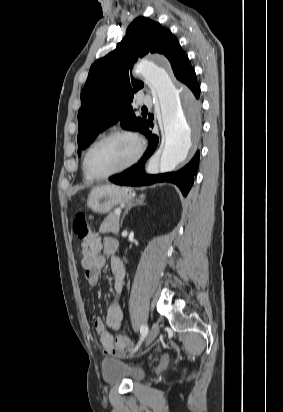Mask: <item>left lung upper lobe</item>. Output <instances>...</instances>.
Segmentation results:
<instances>
[{"label": "left lung upper lobe", "mask_w": 283, "mask_h": 412, "mask_svg": "<svg viewBox=\"0 0 283 412\" xmlns=\"http://www.w3.org/2000/svg\"><path fill=\"white\" fill-rule=\"evenodd\" d=\"M148 53L166 56L180 81L193 70L169 29L147 18H136L116 50L96 61L89 70L78 112L80 149H85L100 132L118 121L127 130L142 132L146 128L149 121L136 117L130 105L143 83L132 77L130 80L128 70L138 57Z\"/></svg>", "instance_id": "5c2ea615"}]
</instances>
